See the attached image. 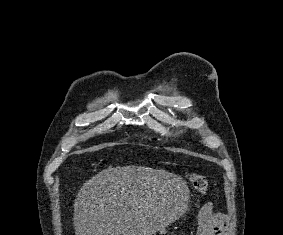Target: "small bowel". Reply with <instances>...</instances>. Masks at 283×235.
Instances as JSON below:
<instances>
[{"label":"small bowel","instance_id":"obj_1","mask_svg":"<svg viewBox=\"0 0 283 235\" xmlns=\"http://www.w3.org/2000/svg\"><path fill=\"white\" fill-rule=\"evenodd\" d=\"M226 219L215 212L212 204L204 205L199 214L197 235H222Z\"/></svg>","mask_w":283,"mask_h":235}]
</instances>
